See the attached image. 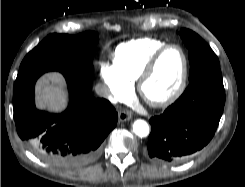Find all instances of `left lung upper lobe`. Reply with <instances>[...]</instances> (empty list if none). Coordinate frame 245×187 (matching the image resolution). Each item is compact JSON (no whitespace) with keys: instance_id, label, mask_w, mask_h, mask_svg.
Masks as SVG:
<instances>
[{"instance_id":"5c2ea615","label":"left lung upper lobe","mask_w":245,"mask_h":187,"mask_svg":"<svg viewBox=\"0 0 245 187\" xmlns=\"http://www.w3.org/2000/svg\"><path fill=\"white\" fill-rule=\"evenodd\" d=\"M180 36L189 51V81H193L204 73L220 69L216 54L199 35L191 30L181 29Z\"/></svg>"}]
</instances>
